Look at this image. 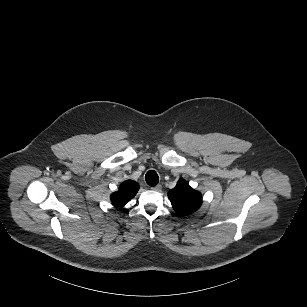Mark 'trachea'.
Returning a JSON list of instances; mask_svg holds the SVG:
<instances>
[{
    "label": "trachea",
    "instance_id": "obj_1",
    "mask_svg": "<svg viewBox=\"0 0 307 307\" xmlns=\"http://www.w3.org/2000/svg\"><path fill=\"white\" fill-rule=\"evenodd\" d=\"M145 180H146V183L149 185V186H155L157 185V183L159 182V177H158V174L153 171V170H150L149 172H147V174L145 175Z\"/></svg>",
    "mask_w": 307,
    "mask_h": 307
}]
</instances>
